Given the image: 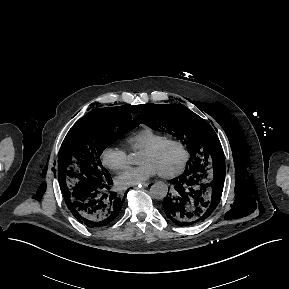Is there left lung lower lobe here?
I'll use <instances>...</instances> for the list:
<instances>
[{
    "mask_svg": "<svg viewBox=\"0 0 289 289\" xmlns=\"http://www.w3.org/2000/svg\"><path fill=\"white\" fill-rule=\"evenodd\" d=\"M225 172L223 162L211 171L196 168L170 180L173 190L162 203L167 217L179 226L207 219L220 202Z\"/></svg>",
    "mask_w": 289,
    "mask_h": 289,
    "instance_id": "left-lung-lower-lobe-1",
    "label": "left lung lower lobe"
}]
</instances>
